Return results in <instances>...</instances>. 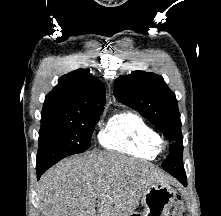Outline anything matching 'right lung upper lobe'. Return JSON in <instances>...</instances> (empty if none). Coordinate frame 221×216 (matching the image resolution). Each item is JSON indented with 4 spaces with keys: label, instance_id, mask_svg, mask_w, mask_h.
Segmentation results:
<instances>
[{
    "label": "right lung upper lobe",
    "instance_id": "1",
    "mask_svg": "<svg viewBox=\"0 0 221 216\" xmlns=\"http://www.w3.org/2000/svg\"><path fill=\"white\" fill-rule=\"evenodd\" d=\"M58 82L45 97L41 124L103 111L105 87L89 71L78 69L62 76Z\"/></svg>",
    "mask_w": 221,
    "mask_h": 216
}]
</instances>
